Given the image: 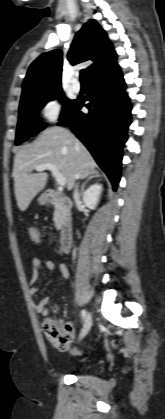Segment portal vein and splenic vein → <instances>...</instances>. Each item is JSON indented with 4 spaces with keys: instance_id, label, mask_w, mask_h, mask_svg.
Here are the masks:
<instances>
[{
    "instance_id": "portal-vein-and-splenic-vein-1",
    "label": "portal vein and splenic vein",
    "mask_w": 165,
    "mask_h": 419,
    "mask_svg": "<svg viewBox=\"0 0 165 419\" xmlns=\"http://www.w3.org/2000/svg\"><path fill=\"white\" fill-rule=\"evenodd\" d=\"M46 169H48L52 172V174L55 177L58 185L65 186L66 179H65V177L62 176V174L59 172V170L57 169V167L55 165L50 164V163H46V164L37 165L35 167L36 171H43V170H46Z\"/></svg>"
}]
</instances>
